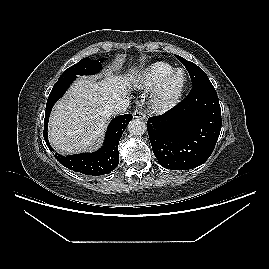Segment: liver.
Wrapping results in <instances>:
<instances>
[{"instance_id":"obj_1","label":"liver","mask_w":269,"mask_h":269,"mask_svg":"<svg viewBox=\"0 0 269 269\" xmlns=\"http://www.w3.org/2000/svg\"><path fill=\"white\" fill-rule=\"evenodd\" d=\"M137 72L125 75L111 71L100 80L79 78L50 116L49 140L61 154L77 153L95 145L103 136L111 117L108 107L127 98Z\"/></svg>"}]
</instances>
